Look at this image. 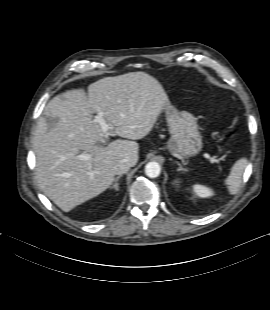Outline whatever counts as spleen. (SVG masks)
Segmentation results:
<instances>
[{"instance_id": "obj_1", "label": "spleen", "mask_w": 270, "mask_h": 310, "mask_svg": "<svg viewBox=\"0 0 270 310\" xmlns=\"http://www.w3.org/2000/svg\"><path fill=\"white\" fill-rule=\"evenodd\" d=\"M246 166V158H241L237 160L232 166L230 175L225 180V184L227 185L230 194L234 195L238 192L241 185L242 174Z\"/></svg>"}]
</instances>
